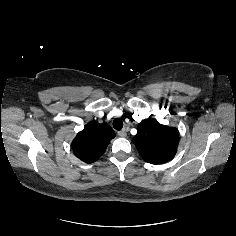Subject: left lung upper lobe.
<instances>
[{
    "label": "left lung upper lobe",
    "mask_w": 236,
    "mask_h": 236,
    "mask_svg": "<svg viewBox=\"0 0 236 236\" xmlns=\"http://www.w3.org/2000/svg\"><path fill=\"white\" fill-rule=\"evenodd\" d=\"M178 142L179 133L176 128L161 125L153 118L140 122L133 138L142 158L151 164L171 160L176 154Z\"/></svg>",
    "instance_id": "1"
}]
</instances>
